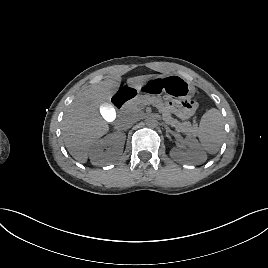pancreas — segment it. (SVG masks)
<instances>
[{
    "label": "pancreas",
    "mask_w": 268,
    "mask_h": 268,
    "mask_svg": "<svg viewBox=\"0 0 268 268\" xmlns=\"http://www.w3.org/2000/svg\"><path fill=\"white\" fill-rule=\"evenodd\" d=\"M154 105L158 108L162 114L163 120L166 124L174 127L176 131L185 133L187 135H195L197 133V124H191L189 121H182L175 119L164 107L160 97L150 95H140L134 100L128 102L125 106L127 113H138L141 112L146 105Z\"/></svg>",
    "instance_id": "obj_1"
}]
</instances>
